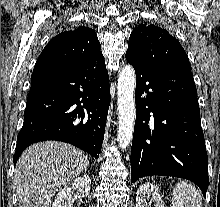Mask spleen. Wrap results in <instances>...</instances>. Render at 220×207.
Returning a JSON list of instances; mask_svg holds the SVG:
<instances>
[{"mask_svg":"<svg viewBox=\"0 0 220 207\" xmlns=\"http://www.w3.org/2000/svg\"><path fill=\"white\" fill-rule=\"evenodd\" d=\"M172 207H202L201 194L192 184L180 181L173 190Z\"/></svg>","mask_w":220,"mask_h":207,"instance_id":"3e777b00","label":"spleen"}]
</instances>
